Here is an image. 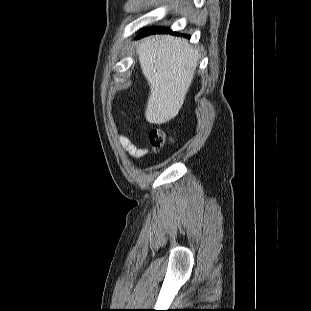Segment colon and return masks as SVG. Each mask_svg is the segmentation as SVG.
<instances>
[{
	"mask_svg": "<svg viewBox=\"0 0 311 311\" xmlns=\"http://www.w3.org/2000/svg\"><path fill=\"white\" fill-rule=\"evenodd\" d=\"M150 140L154 148H160L171 141L167 133L161 128H154L151 130Z\"/></svg>",
	"mask_w": 311,
	"mask_h": 311,
	"instance_id": "5ec220e1",
	"label": "colon"
}]
</instances>
